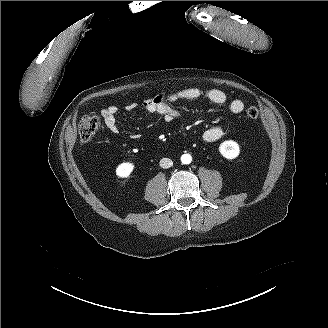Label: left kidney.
<instances>
[{
	"instance_id": "left-kidney-1",
	"label": "left kidney",
	"mask_w": 328,
	"mask_h": 328,
	"mask_svg": "<svg viewBox=\"0 0 328 328\" xmlns=\"http://www.w3.org/2000/svg\"><path fill=\"white\" fill-rule=\"evenodd\" d=\"M218 149L220 154L229 161L236 159L240 153L239 144L233 140L222 142Z\"/></svg>"
}]
</instances>
